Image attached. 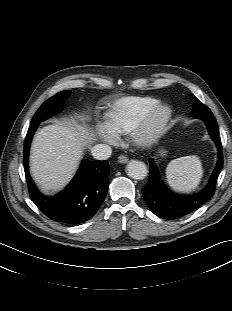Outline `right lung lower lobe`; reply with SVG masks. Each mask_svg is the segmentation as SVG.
<instances>
[{
	"instance_id": "1",
	"label": "right lung lower lobe",
	"mask_w": 232,
	"mask_h": 311,
	"mask_svg": "<svg viewBox=\"0 0 232 311\" xmlns=\"http://www.w3.org/2000/svg\"><path fill=\"white\" fill-rule=\"evenodd\" d=\"M38 124L30 125L24 143V170L30 197L50 219L77 225L92 218L102 204L109 187V163L83 160L69 186L54 197L41 194L29 175L30 144Z\"/></svg>"
}]
</instances>
